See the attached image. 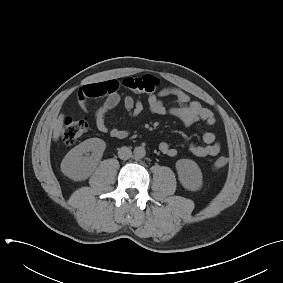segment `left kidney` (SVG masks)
Returning <instances> with one entry per match:
<instances>
[{"label": "left kidney", "instance_id": "obj_1", "mask_svg": "<svg viewBox=\"0 0 283 283\" xmlns=\"http://www.w3.org/2000/svg\"><path fill=\"white\" fill-rule=\"evenodd\" d=\"M176 170L184 188L196 191L202 187V173L199 166L193 160H178L176 162Z\"/></svg>", "mask_w": 283, "mask_h": 283}]
</instances>
